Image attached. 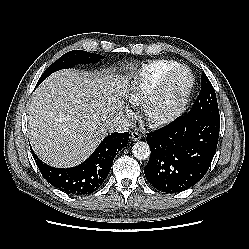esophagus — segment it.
<instances>
[{"instance_id": "1", "label": "esophagus", "mask_w": 249, "mask_h": 249, "mask_svg": "<svg viewBox=\"0 0 249 249\" xmlns=\"http://www.w3.org/2000/svg\"><path fill=\"white\" fill-rule=\"evenodd\" d=\"M130 138L132 141H138L141 139V135L138 132H132Z\"/></svg>"}]
</instances>
